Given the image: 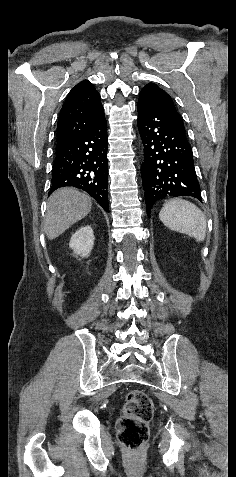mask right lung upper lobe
<instances>
[{"mask_svg":"<svg viewBox=\"0 0 236 477\" xmlns=\"http://www.w3.org/2000/svg\"><path fill=\"white\" fill-rule=\"evenodd\" d=\"M104 118L100 95L89 81H81L70 91L60 111L56 148L65 147Z\"/></svg>","mask_w":236,"mask_h":477,"instance_id":"right-lung-upper-lobe-1","label":"right lung upper lobe"}]
</instances>
